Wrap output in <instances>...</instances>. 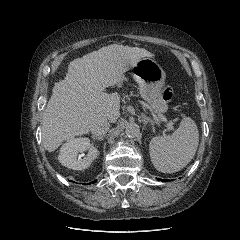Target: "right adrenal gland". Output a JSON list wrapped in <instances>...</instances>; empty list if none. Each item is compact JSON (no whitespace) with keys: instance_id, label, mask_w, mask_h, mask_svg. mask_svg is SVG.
<instances>
[{"instance_id":"obj_1","label":"right adrenal gland","mask_w":240,"mask_h":240,"mask_svg":"<svg viewBox=\"0 0 240 240\" xmlns=\"http://www.w3.org/2000/svg\"><path fill=\"white\" fill-rule=\"evenodd\" d=\"M104 135H102V136H92V138L94 139V140H99V141H102L103 139H104Z\"/></svg>"}]
</instances>
